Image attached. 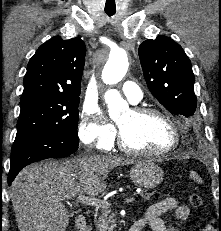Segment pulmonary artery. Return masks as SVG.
<instances>
[{"instance_id": "pulmonary-artery-1", "label": "pulmonary artery", "mask_w": 221, "mask_h": 231, "mask_svg": "<svg viewBox=\"0 0 221 231\" xmlns=\"http://www.w3.org/2000/svg\"><path fill=\"white\" fill-rule=\"evenodd\" d=\"M122 91L131 103H138L143 98V93L139 86L131 81H126L122 84Z\"/></svg>"}]
</instances>
